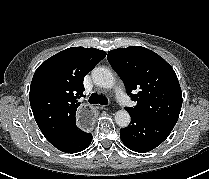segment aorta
Instances as JSON below:
<instances>
[{
    "label": "aorta",
    "instance_id": "obj_1",
    "mask_svg": "<svg viewBox=\"0 0 209 179\" xmlns=\"http://www.w3.org/2000/svg\"><path fill=\"white\" fill-rule=\"evenodd\" d=\"M92 79L95 85L101 88H112L115 84L113 73L105 67H96L92 71ZM115 121L120 127H127L131 117L126 110H119L115 114Z\"/></svg>",
    "mask_w": 209,
    "mask_h": 179
}]
</instances>
